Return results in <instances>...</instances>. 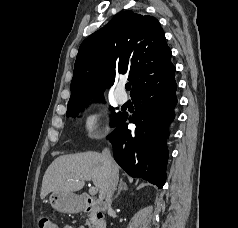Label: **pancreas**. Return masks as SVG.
I'll return each instance as SVG.
<instances>
[{
    "instance_id": "1",
    "label": "pancreas",
    "mask_w": 238,
    "mask_h": 228,
    "mask_svg": "<svg viewBox=\"0 0 238 228\" xmlns=\"http://www.w3.org/2000/svg\"><path fill=\"white\" fill-rule=\"evenodd\" d=\"M86 225H88L90 228L94 225V219L92 216H90L87 220H86Z\"/></svg>"
}]
</instances>
